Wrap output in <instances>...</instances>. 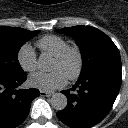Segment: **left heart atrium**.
Segmentation results:
<instances>
[{"label":"left heart atrium","mask_w":128,"mask_h":128,"mask_svg":"<svg viewBox=\"0 0 128 128\" xmlns=\"http://www.w3.org/2000/svg\"><path fill=\"white\" fill-rule=\"evenodd\" d=\"M66 75L61 71L37 72L29 77V84L42 91H52L65 85Z\"/></svg>","instance_id":"obj_1"}]
</instances>
